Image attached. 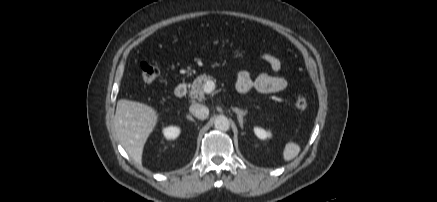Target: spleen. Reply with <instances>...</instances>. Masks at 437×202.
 Instances as JSON below:
<instances>
[{
	"mask_svg": "<svg viewBox=\"0 0 437 202\" xmlns=\"http://www.w3.org/2000/svg\"><path fill=\"white\" fill-rule=\"evenodd\" d=\"M300 146L294 142H288L283 150L284 161H290L298 156L300 152Z\"/></svg>",
	"mask_w": 437,
	"mask_h": 202,
	"instance_id": "spleen-1",
	"label": "spleen"
}]
</instances>
